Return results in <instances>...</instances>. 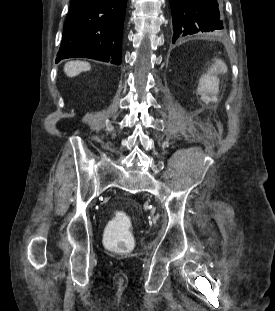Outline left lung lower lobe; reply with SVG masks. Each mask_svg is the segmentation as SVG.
<instances>
[{"instance_id":"left-lung-lower-lobe-1","label":"left lung lower lobe","mask_w":275,"mask_h":311,"mask_svg":"<svg viewBox=\"0 0 275 311\" xmlns=\"http://www.w3.org/2000/svg\"><path fill=\"white\" fill-rule=\"evenodd\" d=\"M172 43L192 34H217L224 29L219 0H170Z\"/></svg>"}]
</instances>
